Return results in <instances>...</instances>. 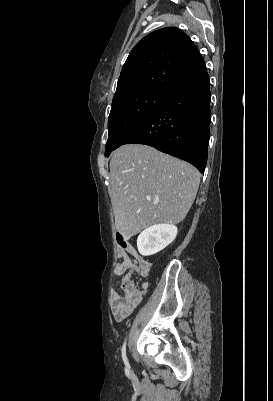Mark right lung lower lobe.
<instances>
[{
    "instance_id": "obj_1",
    "label": "right lung lower lobe",
    "mask_w": 273,
    "mask_h": 401,
    "mask_svg": "<svg viewBox=\"0 0 273 401\" xmlns=\"http://www.w3.org/2000/svg\"><path fill=\"white\" fill-rule=\"evenodd\" d=\"M207 69L166 93L162 102L123 144H145L178 157L204 172L210 136Z\"/></svg>"
}]
</instances>
